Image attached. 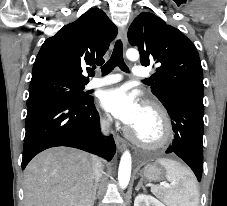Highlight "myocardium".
Segmentation results:
<instances>
[{
    "label": "myocardium",
    "instance_id": "f54148a6",
    "mask_svg": "<svg viewBox=\"0 0 227 206\" xmlns=\"http://www.w3.org/2000/svg\"><path fill=\"white\" fill-rule=\"evenodd\" d=\"M144 109L152 112L158 119L160 125V134L156 139L144 140L140 138L137 132L133 129L130 131L131 140L136 145L145 149H157L164 147L171 141L173 135L172 124L167 111L160 103L153 100H147L144 103Z\"/></svg>",
    "mask_w": 227,
    "mask_h": 206
}]
</instances>
